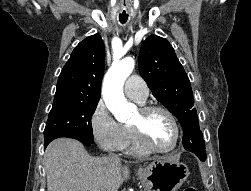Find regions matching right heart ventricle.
I'll return each mask as SVG.
<instances>
[{
  "label": "right heart ventricle",
  "instance_id": "e07e8e85",
  "mask_svg": "<svg viewBox=\"0 0 251 191\" xmlns=\"http://www.w3.org/2000/svg\"><path fill=\"white\" fill-rule=\"evenodd\" d=\"M126 132L127 137L122 150L133 156H148L151 153L140 144L131 126H126Z\"/></svg>",
  "mask_w": 251,
  "mask_h": 191
}]
</instances>
